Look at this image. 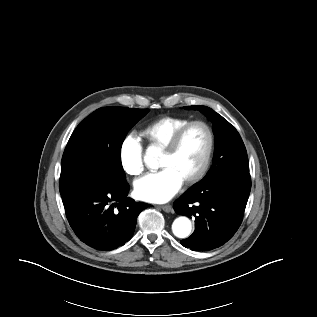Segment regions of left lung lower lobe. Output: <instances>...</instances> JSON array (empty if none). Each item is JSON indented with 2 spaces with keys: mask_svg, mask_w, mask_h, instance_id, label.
Segmentation results:
<instances>
[{
  "mask_svg": "<svg viewBox=\"0 0 317 317\" xmlns=\"http://www.w3.org/2000/svg\"><path fill=\"white\" fill-rule=\"evenodd\" d=\"M251 189L249 173L195 184L174 203L176 213L195 217V231L181 244L196 251L222 246L238 230Z\"/></svg>",
  "mask_w": 317,
  "mask_h": 317,
  "instance_id": "obj_1",
  "label": "left lung lower lobe"
}]
</instances>
